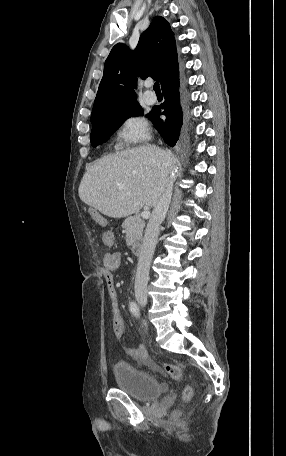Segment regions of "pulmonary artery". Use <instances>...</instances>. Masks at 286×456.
I'll return each instance as SVG.
<instances>
[{"instance_id":"obj_1","label":"pulmonary artery","mask_w":286,"mask_h":456,"mask_svg":"<svg viewBox=\"0 0 286 456\" xmlns=\"http://www.w3.org/2000/svg\"><path fill=\"white\" fill-rule=\"evenodd\" d=\"M150 86H151V83H147V87L149 88ZM144 97H145V101L148 104H154L156 102V100H157L156 95L153 92L149 91V90H147L145 92Z\"/></svg>"}]
</instances>
